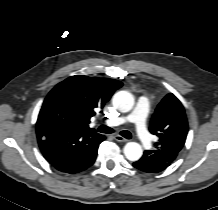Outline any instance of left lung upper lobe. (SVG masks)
Instances as JSON below:
<instances>
[{
    "mask_svg": "<svg viewBox=\"0 0 218 210\" xmlns=\"http://www.w3.org/2000/svg\"><path fill=\"white\" fill-rule=\"evenodd\" d=\"M149 130L159 137L150 153L156 159L172 163L184 146L188 133L184 107L175 95L169 93L157 106Z\"/></svg>",
    "mask_w": 218,
    "mask_h": 210,
    "instance_id": "left-lung-upper-lobe-1",
    "label": "left lung upper lobe"
}]
</instances>
